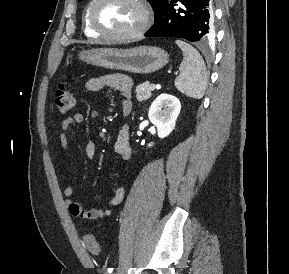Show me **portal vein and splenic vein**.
I'll return each instance as SVG.
<instances>
[{
	"label": "portal vein and splenic vein",
	"mask_w": 289,
	"mask_h": 274,
	"mask_svg": "<svg viewBox=\"0 0 289 274\" xmlns=\"http://www.w3.org/2000/svg\"><path fill=\"white\" fill-rule=\"evenodd\" d=\"M154 89H155V85L152 84V85H151V90H154Z\"/></svg>",
	"instance_id": "18ae733b"
}]
</instances>
